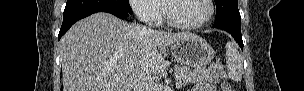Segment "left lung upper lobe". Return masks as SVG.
Wrapping results in <instances>:
<instances>
[{
  "label": "left lung upper lobe",
  "mask_w": 304,
  "mask_h": 91,
  "mask_svg": "<svg viewBox=\"0 0 304 91\" xmlns=\"http://www.w3.org/2000/svg\"><path fill=\"white\" fill-rule=\"evenodd\" d=\"M216 4V20H219L231 13L239 12L238 0H214Z\"/></svg>",
  "instance_id": "obj_1"
}]
</instances>
